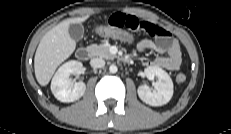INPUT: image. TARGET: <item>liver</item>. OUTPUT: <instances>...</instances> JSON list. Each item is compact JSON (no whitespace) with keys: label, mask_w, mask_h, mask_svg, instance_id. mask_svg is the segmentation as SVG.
<instances>
[{"label":"liver","mask_w":231,"mask_h":134,"mask_svg":"<svg viewBox=\"0 0 231 134\" xmlns=\"http://www.w3.org/2000/svg\"><path fill=\"white\" fill-rule=\"evenodd\" d=\"M88 15L70 18L60 22L49 30L40 40L34 57L35 76L41 86H46L57 67L74 52L76 42L71 38L70 24H80Z\"/></svg>","instance_id":"1"}]
</instances>
